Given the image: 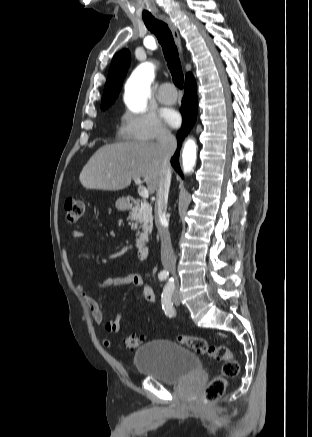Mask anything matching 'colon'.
Returning a JSON list of instances; mask_svg holds the SVG:
<instances>
[{
	"label": "colon",
	"mask_w": 312,
	"mask_h": 437,
	"mask_svg": "<svg viewBox=\"0 0 312 437\" xmlns=\"http://www.w3.org/2000/svg\"><path fill=\"white\" fill-rule=\"evenodd\" d=\"M85 202L75 198H67L65 201V219L69 224L76 223L85 213ZM177 341L194 350L198 354L205 355L211 360L223 362L221 374L213 378L206 386L202 400L205 402L215 401L220 398L227 387L228 380L234 379L239 374V363L233 358L231 351L225 345L212 344L207 340L187 335H178ZM143 337L130 335L126 337L125 344L130 349H135L143 342Z\"/></svg>",
	"instance_id": "obj_1"
}]
</instances>
